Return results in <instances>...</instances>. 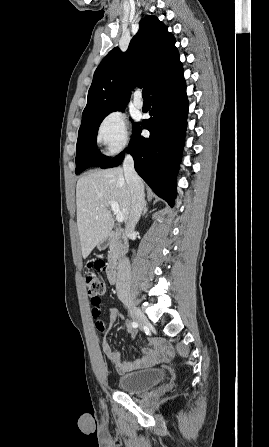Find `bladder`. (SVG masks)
Instances as JSON below:
<instances>
[{"mask_svg": "<svg viewBox=\"0 0 269 447\" xmlns=\"http://www.w3.org/2000/svg\"><path fill=\"white\" fill-rule=\"evenodd\" d=\"M167 377L162 368H151L120 375L116 384L121 392L136 393L163 383Z\"/></svg>", "mask_w": 269, "mask_h": 447, "instance_id": "bladder-1", "label": "bladder"}]
</instances>
